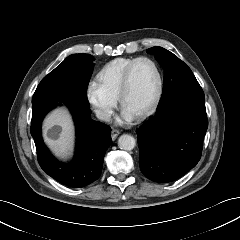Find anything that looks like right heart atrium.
Here are the masks:
<instances>
[{"label":"right heart atrium","instance_id":"obj_1","mask_svg":"<svg viewBox=\"0 0 240 240\" xmlns=\"http://www.w3.org/2000/svg\"><path fill=\"white\" fill-rule=\"evenodd\" d=\"M86 96L96 115L106 120L116 106V99L105 93L98 84L90 83L86 90Z\"/></svg>","mask_w":240,"mask_h":240}]
</instances>
